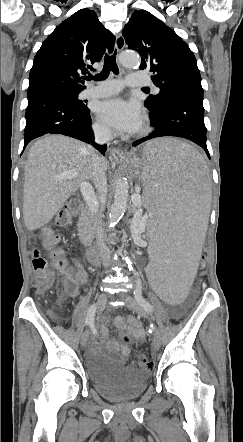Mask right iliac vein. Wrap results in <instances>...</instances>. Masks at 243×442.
<instances>
[{
	"mask_svg": "<svg viewBox=\"0 0 243 442\" xmlns=\"http://www.w3.org/2000/svg\"><path fill=\"white\" fill-rule=\"evenodd\" d=\"M107 299H108V296H107L106 293H101L98 296L97 303H96V311H97V313H99L103 309V307L105 306V304L107 302ZM89 337H90V327H88L83 332V334H82V337H81V345H82V347L86 346V344H87V342L89 340Z\"/></svg>",
	"mask_w": 243,
	"mask_h": 442,
	"instance_id": "1",
	"label": "right iliac vein"
}]
</instances>
